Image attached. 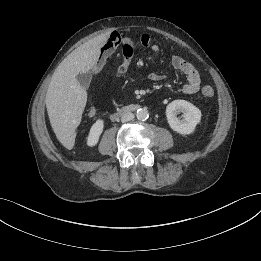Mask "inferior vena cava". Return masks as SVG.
Returning a JSON list of instances; mask_svg holds the SVG:
<instances>
[{
    "mask_svg": "<svg viewBox=\"0 0 261 261\" xmlns=\"http://www.w3.org/2000/svg\"><path fill=\"white\" fill-rule=\"evenodd\" d=\"M134 119V114L132 112H125L121 115V122L125 123Z\"/></svg>",
    "mask_w": 261,
    "mask_h": 261,
    "instance_id": "inferior-vena-cava-1",
    "label": "inferior vena cava"
}]
</instances>
